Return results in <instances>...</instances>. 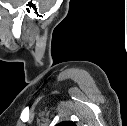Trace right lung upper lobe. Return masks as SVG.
<instances>
[{"mask_svg":"<svg viewBox=\"0 0 127 126\" xmlns=\"http://www.w3.org/2000/svg\"><path fill=\"white\" fill-rule=\"evenodd\" d=\"M56 126H76L74 122H71V121H64V122H61L59 124H57Z\"/></svg>","mask_w":127,"mask_h":126,"instance_id":"1","label":"right lung upper lobe"}]
</instances>
